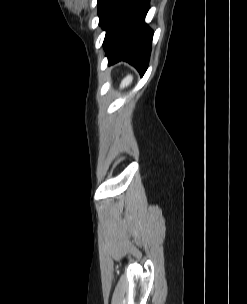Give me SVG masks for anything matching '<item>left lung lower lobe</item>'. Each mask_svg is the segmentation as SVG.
<instances>
[{
  "instance_id": "obj_1",
  "label": "left lung lower lobe",
  "mask_w": 247,
  "mask_h": 304,
  "mask_svg": "<svg viewBox=\"0 0 247 304\" xmlns=\"http://www.w3.org/2000/svg\"><path fill=\"white\" fill-rule=\"evenodd\" d=\"M150 0H100L99 25L106 31L103 46L109 64L124 60L144 75L153 32L145 23Z\"/></svg>"
}]
</instances>
